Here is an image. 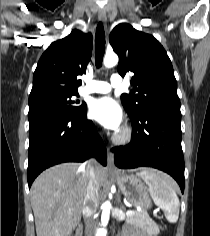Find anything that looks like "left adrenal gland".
<instances>
[{
  "mask_svg": "<svg viewBox=\"0 0 210 236\" xmlns=\"http://www.w3.org/2000/svg\"><path fill=\"white\" fill-rule=\"evenodd\" d=\"M119 205L121 208H125L121 203H120V199H119Z\"/></svg>",
  "mask_w": 210,
  "mask_h": 236,
  "instance_id": "a2214340",
  "label": "left adrenal gland"
}]
</instances>
